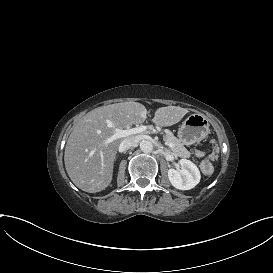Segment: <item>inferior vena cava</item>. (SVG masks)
Wrapping results in <instances>:
<instances>
[{
	"instance_id": "1",
	"label": "inferior vena cava",
	"mask_w": 273,
	"mask_h": 273,
	"mask_svg": "<svg viewBox=\"0 0 273 273\" xmlns=\"http://www.w3.org/2000/svg\"><path fill=\"white\" fill-rule=\"evenodd\" d=\"M139 142V139L137 136H131L125 138L121 144H120V150L125 151L130 149L131 147H135Z\"/></svg>"
}]
</instances>
